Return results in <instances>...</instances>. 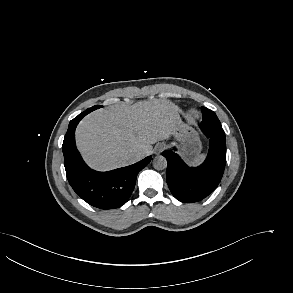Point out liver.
I'll list each match as a JSON object with an SVG mask.
<instances>
[{
	"mask_svg": "<svg viewBox=\"0 0 293 293\" xmlns=\"http://www.w3.org/2000/svg\"><path fill=\"white\" fill-rule=\"evenodd\" d=\"M180 123L178 108L167 101L115 104L80 122L76 145L92 168L110 170L135 163L134 154H151L152 144L168 139Z\"/></svg>",
	"mask_w": 293,
	"mask_h": 293,
	"instance_id": "liver-1",
	"label": "liver"
}]
</instances>
